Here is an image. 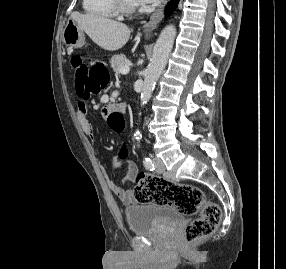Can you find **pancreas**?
<instances>
[{"label": "pancreas", "instance_id": "pancreas-1", "mask_svg": "<svg viewBox=\"0 0 286 269\" xmlns=\"http://www.w3.org/2000/svg\"><path fill=\"white\" fill-rule=\"evenodd\" d=\"M109 62L113 68V71L115 72V75H118L120 73V69L128 64V60L123 54L114 55Z\"/></svg>", "mask_w": 286, "mask_h": 269}]
</instances>
